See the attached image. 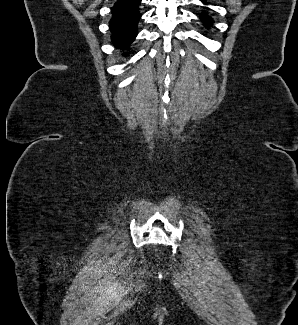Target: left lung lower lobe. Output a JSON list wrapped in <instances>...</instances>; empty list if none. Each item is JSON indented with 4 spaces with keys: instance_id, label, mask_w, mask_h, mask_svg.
I'll list each match as a JSON object with an SVG mask.
<instances>
[{
    "instance_id": "obj_1",
    "label": "left lung lower lobe",
    "mask_w": 298,
    "mask_h": 325,
    "mask_svg": "<svg viewBox=\"0 0 298 325\" xmlns=\"http://www.w3.org/2000/svg\"><path fill=\"white\" fill-rule=\"evenodd\" d=\"M204 4H207L206 0H201ZM207 9V8H205ZM199 17L202 21V23L204 24V26L206 28H209L212 26V23H213V19L208 16V13L206 11H203L202 13L199 14Z\"/></svg>"
}]
</instances>
